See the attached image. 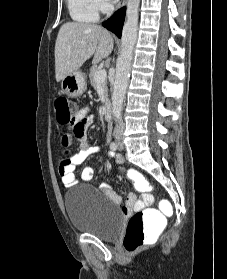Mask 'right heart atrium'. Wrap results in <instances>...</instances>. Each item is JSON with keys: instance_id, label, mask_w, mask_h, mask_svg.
Returning <instances> with one entry per match:
<instances>
[{"instance_id": "d8ad5b80", "label": "right heart atrium", "mask_w": 227, "mask_h": 279, "mask_svg": "<svg viewBox=\"0 0 227 279\" xmlns=\"http://www.w3.org/2000/svg\"><path fill=\"white\" fill-rule=\"evenodd\" d=\"M90 2L97 13H102L107 9V0H90Z\"/></svg>"}]
</instances>
